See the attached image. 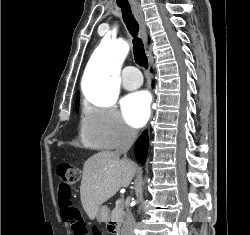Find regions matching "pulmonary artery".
Masks as SVG:
<instances>
[{
  "mask_svg": "<svg viewBox=\"0 0 250 235\" xmlns=\"http://www.w3.org/2000/svg\"><path fill=\"white\" fill-rule=\"evenodd\" d=\"M142 84V77L137 69L133 66H128L122 73V86L127 90H134Z\"/></svg>",
  "mask_w": 250,
  "mask_h": 235,
  "instance_id": "e3ab8cb5",
  "label": "pulmonary artery"
}]
</instances>
